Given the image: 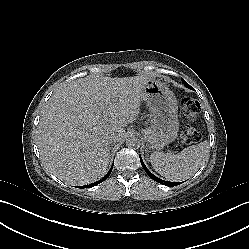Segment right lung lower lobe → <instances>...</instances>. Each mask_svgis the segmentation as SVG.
I'll use <instances>...</instances> for the list:
<instances>
[{
  "instance_id": "obj_1",
  "label": "right lung lower lobe",
  "mask_w": 249,
  "mask_h": 249,
  "mask_svg": "<svg viewBox=\"0 0 249 249\" xmlns=\"http://www.w3.org/2000/svg\"><path fill=\"white\" fill-rule=\"evenodd\" d=\"M112 168H113V165H112L110 171L108 172V174H107L103 179H101V180H99V181H97V182H95V183L89 184V185H87V186H84V187H86V188H91V187H93V186L98 185V184L101 183L102 181H104V180L110 175V173H111V171H112Z\"/></svg>"
}]
</instances>
